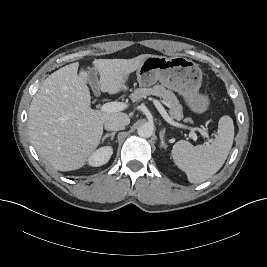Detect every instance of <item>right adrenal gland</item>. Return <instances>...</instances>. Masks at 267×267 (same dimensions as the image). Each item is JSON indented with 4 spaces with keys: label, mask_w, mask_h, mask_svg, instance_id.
<instances>
[{
    "label": "right adrenal gland",
    "mask_w": 267,
    "mask_h": 267,
    "mask_svg": "<svg viewBox=\"0 0 267 267\" xmlns=\"http://www.w3.org/2000/svg\"><path fill=\"white\" fill-rule=\"evenodd\" d=\"M115 134H116L115 131H114V132H111V133H107V134H105V135L103 136V138H102V143H103V142L105 141V139L108 138V137H111V140H113Z\"/></svg>",
    "instance_id": "1"
}]
</instances>
